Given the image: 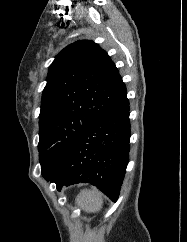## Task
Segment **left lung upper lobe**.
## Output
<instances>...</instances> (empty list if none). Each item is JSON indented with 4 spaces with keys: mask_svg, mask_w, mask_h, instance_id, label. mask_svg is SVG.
<instances>
[{
    "mask_svg": "<svg viewBox=\"0 0 187 242\" xmlns=\"http://www.w3.org/2000/svg\"><path fill=\"white\" fill-rule=\"evenodd\" d=\"M125 94L118 69L98 44L80 40L64 48L49 67L42 93V175L54 171L86 130Z\"/></svg>",
    "mask_w": 187,
    "mask_h": 242,
    "instance_id": "1",
    "label": "left lung upper lobe"
}]
</instances>
